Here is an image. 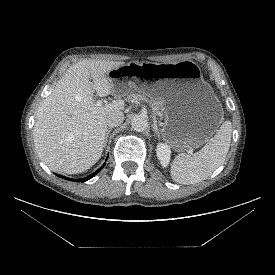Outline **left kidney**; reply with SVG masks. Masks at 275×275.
<instances>
[{"instance_id": "5707ae66", "label": "left kidney", "mask_w": 275, "mask_h": 275, "mask_svg": "<svg viewBox=\"0 0 275 275\" xmlns=\"http://www.w3.org/2000/svg\"><path fill=\"white\" fill-rule=\"evenodd\" d=\"M157 157L163 167H167L170 161V148L168 145L159 143L156 149Z\"/></svg>"}]
</instances>
